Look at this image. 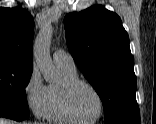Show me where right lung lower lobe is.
Listing matches in <instances>:
<instances>
[{
	"label": "right lung lower lobe",
	"mask_w": 156,
	"mask_h": 124,
	"mask_svg": "<svg viewBox=\"0 0 156 124\" xmlns=\"http://www.w3.org/2000/svg\"><path fill=\"white\" fill-rule=\"evenodd\" d=\"M0 117L23 121L29 117V110L28 107L0 103Z\"/></svg>",
	"instance_id": "1"
}]
</instances>
